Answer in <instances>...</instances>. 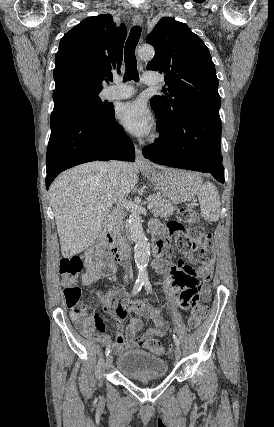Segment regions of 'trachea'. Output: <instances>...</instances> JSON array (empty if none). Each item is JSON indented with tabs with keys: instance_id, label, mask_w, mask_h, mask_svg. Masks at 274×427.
<instances>
[{
	"instance_id": "1",
	"label": "trachea",
	"mask_w": 274,
	"mask_h": 427,
	"mask_svg": "<svg viewBox=\"0 0 274 427\" xmlns=\"http://www.w3.org/2000/svg\"><path fill=\"white\" fill-rule=\"evenodd\" d=\"M141 36V27L135 25L130 30L129 37L124 47V61L126 71L124 74V81L126 80H139V74L137 71V60L135 56V49Z\"/></svg>"
}]
</instances>
